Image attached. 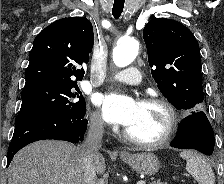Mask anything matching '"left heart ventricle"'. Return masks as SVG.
Returning a JSON list of instances; mask_svg holds the SVG:
<instances>
[{"label":"left heart ventricle","mask_w":224,"mask_h":184,"mask_svg":"<svg viewBox=\"0 0 224 184\" xmlns=\"http://www.w3.org/2000/svg\"><path fill=\"white\" fill-rule=\"evenodd\" d=\"M167 120V114L161 106L140 102L137 116L127 129L138 139L152 141L162 136Z\"/></svg>","instance_id":"left-heart-ventricle-1"}]
</instances>
